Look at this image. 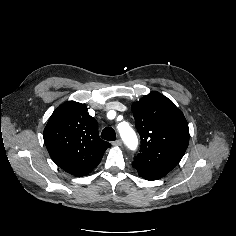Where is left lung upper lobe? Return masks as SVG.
I'll return each mask as SVG.
<instances>
[{"mask_svg": "<svg viewBox=\"0 0 236 236\" xmlns=\"http://www.w3.org/2000/svg\"><path fill=\"white\" fill-rule=\"evenodd\" d=\"M141 152L132 166L146 177L160 179L182 159L189 143L187 121L174 103L150 92L132 105Z\"/></svg>", "mask_w": 236, "mask_h": 236, "instance_id": "obj_1", "label": "left lung upper lobe"}]
</instances>
